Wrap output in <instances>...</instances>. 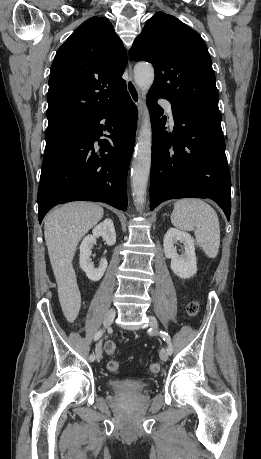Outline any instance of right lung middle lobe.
<instances>
[{
	"mask_svg": "<svg viewBox=\"0 0 261 459\" xmlns=\"http://www.w3.org/2000/svg\"><path fill=\"white\" fill-rule=\"evenodd\" d=\"M86 122L65 121L48 126L45 152L51 151L84 128Z\"/></svg>",
	"mask_w": 261,
	"mask_h": 459,
	"instance_id": "dd1d6c3e",
	"label": "right lung middle lobe"
}]
</instances>
